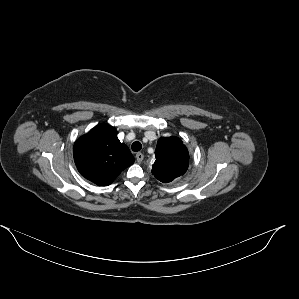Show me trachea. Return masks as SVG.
Wrapping results in <instances>:
<instances>
[{"mask_svg":"<svg viewBox=\"0 0 299 299\" xmlns=\"http://www.w3.org/2000/svg\"><path fill=\"white\" fill-rule=\"evenodd\" d=\"M131 148L134 152H138L141 150L142 144L139 141H135V142H133Z\"/></svg>","mask_w":299,"mask_h":299,"instance_id":"trachea-1","label":"trachea"}]
</instances>
